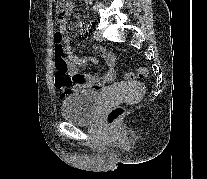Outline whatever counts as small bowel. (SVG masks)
Listing matches in <instances>:
<instances>
[{"instance_id": "c3829d8e", "label": "small bowel", "mask_w": 207, "mask_h": 179, "mask_svg": "<svg viewBox=\"0 0 207 179\" xmlns=\"http://www.w3.org/2000/svg\"><path fill=\"white\" fill-rule=\"evenodd\" d=\"M74 9L75 6L73 4H68L64 15H71L74 12ZM64 15L58 17L56 21L57 31L61 34H64L66 32V23ZM93 50L105 60L106 66L104 72L84 75L79 73V68L84 66L88 61L96 63V58H90L89 60L80 59L72 56L70 48H66V53L68 54L67 61L69 65L70 74L72 76H77L79 78L75 84V87L77 89L101 90L104 89L106 86L114 83L116 80L117 69L115 54L99 45H93Z\"/></svg>"}]
</instances>
